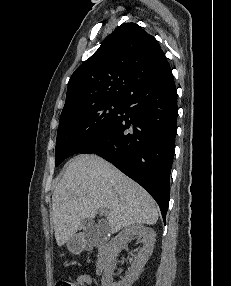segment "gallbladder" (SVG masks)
Returning a JSON list of instances; mask_svg holds the SVG:
<instances>
[{"label":"gallbladder","mask_w":231,"mask_h":286,"mask_svg":"<svg viewBox=\"0 0 231 286\" xmlns=\"http://www.w3.org/2000/svg\"><path fill=\"white\" fill-rule=\"evenodd\" d=\"M81 226L86 234H97L99 233V228H97L96 222L90 216L84 217L81 220Z\"/></svg>","instance_id":"obj_1"}]
</instances>
